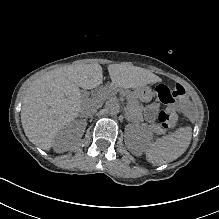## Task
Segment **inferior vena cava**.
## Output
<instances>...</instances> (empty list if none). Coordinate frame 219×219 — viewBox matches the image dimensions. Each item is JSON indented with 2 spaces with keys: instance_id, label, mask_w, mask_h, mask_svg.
Masks as SVG:
<instances>
[{
  "instance_id": "inferior-vena-cava-1",
  "label": "inferior vena cava",
  "mask_w": 219,
  "mask_h": 219,
  "mask_svg": "<svg viewBox=\"0 0 219 219\" xmlns=\"http://www.w3.org/2000/svg\"><path fill=\"white\" fill-rule=\"evenodd\" d=\"M80 109H81L82 116H89V115L94 114L96 108L92 102L87 101L81 105Z\"/></svg>"
}]
</instances>
